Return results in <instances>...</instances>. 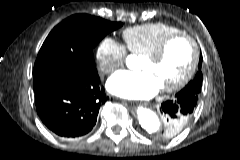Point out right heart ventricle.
Listing matches in <instances>:
<instances>
[{
    "label": "right heart ventricle",
    "mask_w": 240,
    "mask_h": 160,
    "mask_svg": "<svg viewBox=\"0 0 240 160\" xmlns=\"http://www.w3.org/2000/svg\"><path fill=\"white\" fill-rule=\"evenodd\" d=\"M177 32L180 30L173 25L156 22L127 28L122 36L130 53L144 56L152 52L166 36Z\"/></svg>",
    "instance_id": "e07e8e85"
}]
</instances>
